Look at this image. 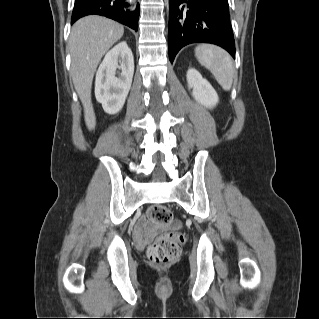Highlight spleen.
<instances>
[{
    "label": "spleen",
    "mask_w": 319,
    "mask_h": 319,
    "mask_svg": "<svg viewBox=\"0 0 319 319\" xmlns=\"http://www.w3.org/2000/svg\"><path fill=\"white\" fill-rule=\"evenodd\" d=\"M199 63L209 69L217 82L226 91L231 89L234 68L231 57L226 51L214 45H199L195 48Z\"/></svg>",
    "instance_id": "3e777b00"
}]
</instances>
